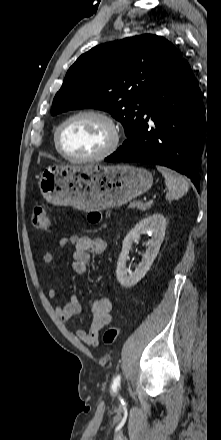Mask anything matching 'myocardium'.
Here are the masks:
<instances>
[{
    "label": "myocardium",
    "instance_id": "1",
    "mask_svg": "<svg viewBox=\"0 0 221 440\" xmlns=\"http://www.w3.org/2000/svg\"><path fill=\"white\" fill-rule=\"evenodd\" d=\"M85 116L96 117V118L103 120L108 125V127L111 131V139H110V142L107 145V147L103 151H101L100 153H98L96 155L89 156V157H81V158L73 157V156L68 155L62 148V145H61L62 131H63L64 127L72 120L79 118V117H85ZM119 140H120L119 129H118L115 121L113 120V118L110 115H108L107 113L100 111V110H96V109H85V110H81V111H78V112L70 115L69 117H67L65 120H63L58 125V127L56 128L55 133H54L55 147H56L58 153L64 159H66L70 162H73V163H92V162L104 160L105 158L109 157L110 155H112L116 151V149L118 148Z\"/></svg>",
    "mask_w": 221,
    "mask_h": 440
}]
</instances>
